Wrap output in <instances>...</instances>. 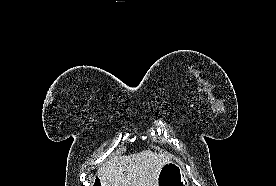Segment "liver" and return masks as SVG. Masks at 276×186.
Listing matches in <instances>:
<instances>
[{
	"instance_id": "6515ba94",
	"label": "liver",
	"mask_w": 276,
	"mask_h": 186,
	"mask_svg": "<svg viewBox=\"0 0 276 186\" xmlns=\"http://www.w3.org/2000/svg\"><path fill=\"white\" fill-rule=\"evenodd\" d=\"M170 161L167 153L150 150L116 155L99 167L97 175L102 186H157L161 167Z\"/></svg>"
}]
</instances>
